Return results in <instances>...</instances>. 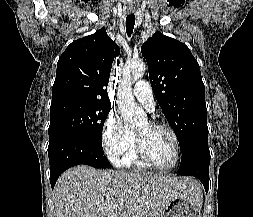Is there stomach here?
<instances>
[{"mask_svg":"<svg viewBox=\"0 0 253 217\" xmlns=\"http://www.w3.org/2000/svg\"><path fill=\"white\" fill-rule=\"evenodd\" d=\"M202 202L192 196L172 198L157 217H201Z\"/></svg>","mask_w":253,"mask_h":217,"instance_id":"stomach-1","label":"stomach"}]
</instances>
